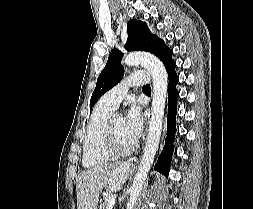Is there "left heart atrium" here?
Instances as JSON below:
<instances>
[{
  "label": "left heart atrium",
  "instance_id": "obj_1",
  "mask_svg": "<svg viewBox=\"0 0 253 209\" xmlns=\"http://www.w3.org/2000/svg\"><path fill=\"white\" fill-rule=\"evenodd\" d=\"M125 126L130 138L135 142L143 130V116L140 107L132 103L125 117Z\"/></svg>",
  "mask_w": 253,
  "mask_h": 209
}]
</instances>
